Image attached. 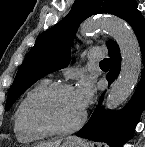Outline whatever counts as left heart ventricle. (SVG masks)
I'll list each match as a JSON object with an SVG mask.
<instances>
[{
	"label": "left heart ventricle",
	"instance_id": "b2bd125f",
	"mask_svg": "<svg viewBox=\"0 0 145 147\" xmlns=\"http://www.w3.org/2000/svg\"><path fill=\"white\" fill-rule=\"evenodd\" d=\"M46 110L50 118L61 127L75 124L83 113L74 90L64 91L49 100Z\"/></svg>",
	"mask_w": 145,
	"mask_h": 147
}]
</instances>
